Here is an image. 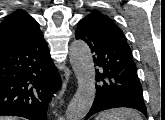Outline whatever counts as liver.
<instances>
[{"mask_svg": "<svg viewBox=\"0 0 165 120\" xmlns=\"http://www.w3.org/2000/svg\"><path fill=\"white\" fill-rule=\"evenodd\" d=\"M0 120H17V118L4 116V117H0Z\"/></svg>", "mask_w": 165, "mask_h": 120, "instance_id": "liver-1", "label": "liver"}]
</instances>
